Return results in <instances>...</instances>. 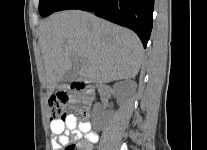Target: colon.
<instances>
[{
	"mask_svg": "<svg viewBox=\"0 0 207 150\" xmlns=\"http://www.w3.org/2000/svg\"><path fill=\"white\" fill-rule=\"evenodd\" d=\"M48 105H49L51 120L64 119L66 117L67 112H66V107L63 98L58 96H52L49 98ZM83 116H84L83 112L79 113L80 118H82ZM66 150H76L75 144L69 145L66 148Z\"/></svg>",
	"mask_w": 207,
	"mask_h": 150,
	"instance_id": "5ec220e1",
	"label": "colon"
}]
</instances>
